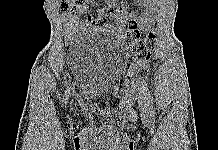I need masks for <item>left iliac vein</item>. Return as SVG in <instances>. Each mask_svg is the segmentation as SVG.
I'll return each mask as SVG.
<instances>
[{
	"mask_svg": "<svg viewBox=\"0 0 218 150\" xmlns=\"http://www.w3.org/2000/svg\"><path fill=\"white\" fill-rule=\"evenodd\" d=\"M138 105L141 113L146 116L148 114V108L144 98L141 95L138 96Z\"/></svg>",
	"mask_w": 218,
	"mask_h": 150,
	"instance_id": "4c4485c4",
	"label": "left iliac vein"
}]
</instances>
